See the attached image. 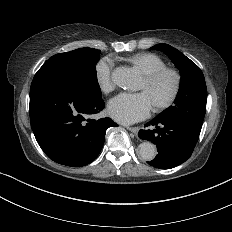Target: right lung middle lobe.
Segmentation results:
<instances>
[{
    "mask_svg": "<svg viewBox=\"0 0 232 232\" xmlns=\"http://www.w3.org/2000/svg\"><path fill=\"white\" fill-rule=\"evenodd\" d=\"M100 50L93 48H79L67 53L56 54L47 60L48 62H59L74 67L86 82L90 94L101 97L100 86L97 81L95 64L99 60Z\"/></svg>",
    "mask_w": 232,
    "mask_h": 232,
    "instance_id": "right-lung-middle-lobe-1",
    "label": "right lung middle lobe"
}]
</instances>
